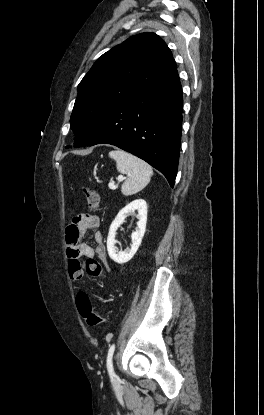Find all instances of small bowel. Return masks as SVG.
I'll return each mask as SVG.
<instances>
[{"instance_id":"c3829d8e","label":"small bowel","mask_w":264,"mask_h":415,"mask_svg":"<svg viewBox=\"0 0 264 415\" xmlns=\"http://www.w3.org/2000/svg\"><path fill=\"white\" fill-rule=\"evenodd\" d=\"M97 216H78L73 218L66 231V257L69 260L89 259L95 256L104 263L107 262V252L103 236L98 230ZM94 231L95 246L82 242V239Z\"/></svg>"}]
</instances>
